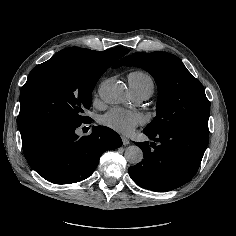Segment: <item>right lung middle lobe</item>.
<instances>
[{"mask_svg": "<svg viewBox=\"0 0 236 236\" xmlns=\"http://www.w3.org/2000/svg\"><path fill=\"white\" fill-rule=\"evenodd\" d=\"M109 66L72 47L61 50L29 74L20 93L18 126L22 141L54 125H81L92 91Z\"/></svg>", "mask_w": 236, "mask_h": 236, "instance_id": "dd1d6c3e", "label": "right lung middle lobe"}]
</instances>
